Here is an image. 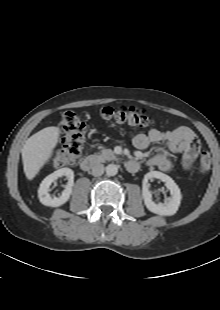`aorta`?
<instances>
[{"label":"aorta","instance_id":"762f6f07","mask_svg":"<svg viewBox=\"0 0 220 310\" xmlns=\"http://www.w3.org/2000/svg\"><path fill=\"white\" fill-rule=\"evenodd\" d=\"M118 173V166L115 164H109L106 166V174L108 176H115Z\"/></svg>","mask_w":220,"mask_h":310}]
</instances>
